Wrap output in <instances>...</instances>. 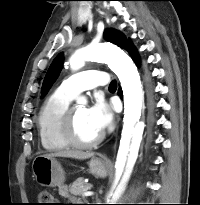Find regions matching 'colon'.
<instances>
[{"label": "colon", "mask_w": 200, "mask_h": 205, "mask_svg": "<svg viewBox=\"0 0 200 205\" xmlns=\"http://www.w3.org/2000/svg\"><path fill=\"white\" fill-rule=\"evenodd\" d=\"M38 205H55V199L52 193L48 190L39 191L38 195Z\"/></svg>", "instance_id": "1"}]
</instances>
